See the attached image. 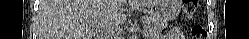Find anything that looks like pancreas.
Listing matches in <instances>:
<instances>
[{
  "label": "pancreas",
  "mask_w": 249,
  "mask_h": 39,
  "mask_svg": "<svg viewBox=\"0 0 249 39\" xmlns=\"http://www.w3.org/2000/svg\"><path fill=\"white\" fill-rule=\"evenodd\" d=\"M167 26V23L164 20L150 17L145 18V23L143 25L144 35L147 38H151L156 34L160 33Z\"/></svg>",
  "instance_id": "pancreas-1"
}]
</instances>
